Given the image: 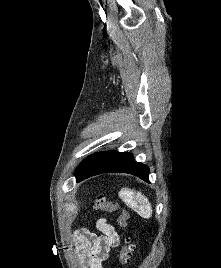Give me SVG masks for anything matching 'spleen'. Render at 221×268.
Instances as JSON below:
<instances>
[{"label": "spleen", "instance_id": "3e777b00", "mask_svg": "<svg viewBox=\"0 0 221 268\" xmlns=\"http://www.w3.org/2000/svg\"><path fill=\"white\" fill-rule=\"evenodd\" d=\"M119 197L122 201L137 212L143 218H150L152 215V207L148 199L140 192H135L128 188L119 191Z\"/></svg>", "mask_w": 221, "mask_h": 268}]
</instances>
